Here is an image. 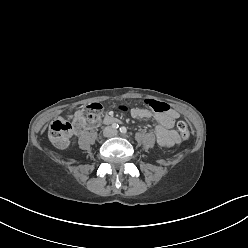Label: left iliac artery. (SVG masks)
<instances>
[{"label": "left iliac artery", "mask_w": 248, "mask_h": 248, "mask_svg": "<svg viewBox=\"0 0 248 248\" xmlns=\"http://www.w3.org/2000/svg\"><path fill=\"white\" fill-rule=\"evenodd\" d=\"M120 132L123 133V134H126V133H127L126 127L122 126V127L120 128Z\"/></svg>", "instance_id": "obj_1"}]
</instances>
